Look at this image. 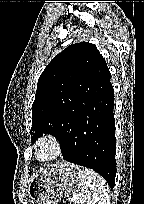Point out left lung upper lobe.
Listing matches in <instances>:
<instances>
[{
	"label": "left lung upper lobe",
	"mask_w": 144,
	"mask_h": 204,
	"mask_svg": "<svg viewBox=\"0 0 144 204\" xmlns=\"http://www.w3.org/2000/svg\"><path fill=\"white\" fill-rule=\"evenodd\" d=\"M106 62L91 43L68 46L56 55L39 77L32 105V142L42 134L62 143L86 103V89Z\"/></svg>",
	"instance_id": "5c2ea615"
}]
</instances>
